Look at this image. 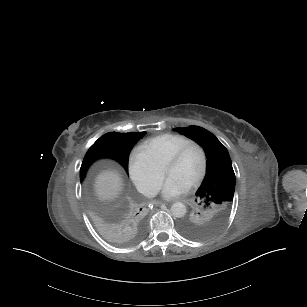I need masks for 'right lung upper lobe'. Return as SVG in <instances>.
<instances>
[{
    "mask_svg": "<svg viewBox=\"0 0 307 307\" xmlns=\"http://www.w3.org/2000/svg\"><path fill=\"white\" fill-rule=\"evenodd\" d=\"M144 134L145 132H109L103 135L102 138L130 145L136 143ZM85 196L90 204L96 221L105 230L136 229L145 223L147 214L146 209L140 202L134 199L97 204L91 202L87 194H85Z\"/></svg>",
    "mask_w": 307,
    "mask_h": 307,
    "instance_id": "1",
    "label": "right lung upper lobe"
}]
</instances>
